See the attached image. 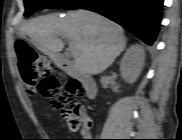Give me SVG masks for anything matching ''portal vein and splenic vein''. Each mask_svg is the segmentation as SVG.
<instances>
[{
	"label": "portal vein and splenic vein",
	"instance_id": "obj_1",
	"mask_svg": "<svg viewBox=\"0 0 182 140\" xmlns=\"http://www.w3.org/2000/svg\"><path fill=\"white\" fill-rule=\"evenodd\" d=\"M69 52H70V55L74 58H76L79 54L77 48L75 46H73L71 43L69 45Z\"/></svg>",
	"mask_w": 182,
	"mask_h": 140
}]
</instances>
